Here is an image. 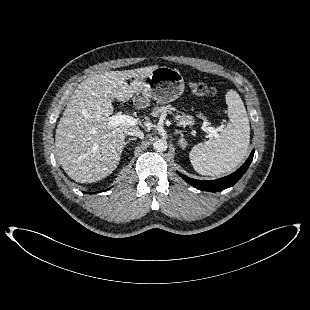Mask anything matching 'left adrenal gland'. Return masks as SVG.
Listing matches in <instances>:
<instances>
[{
  "mask_svg": "<svg viewBox=\"0 0 310 310\" xmlns=\"http://www.w3.org/2000/svg\"><path fill=\"white\" fill-rule=\"evenodd\" d=\"M176 134H180V138H179V145L181 148H185L187 145V142L185 141L184 135L181 131H175Z\"/></svg>",
  "mask_w": 310,
  "mask_h": 310,
  "instance_id": "left-adrenal-gland-1",
  "label": "left adrenal gland"
}]
</instances>
